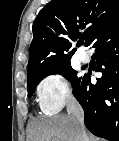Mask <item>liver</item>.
<instances>
[{
    "mask_svg": "<svg viewBox=\"0 0 119 141\" xmlns=\"http://www.w3.org/2000/svg\"><path fill=\"white\" fill-rule=\"evenodd\" d=\"M86 137L87 141H99L90 134ZM28 141H82V134L71 115H56L35 120Z\"/></svg>",
    "mask_w": 119,
    "mask_h": 141,
    "instance_id": "obj_1",
    "label": "liver"
}]
</instances>
